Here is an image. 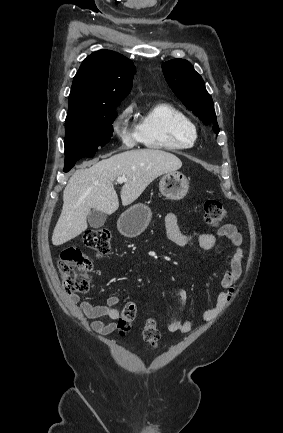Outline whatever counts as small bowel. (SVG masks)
<instances>
[{
	"label": "small bowel",
	"mask_w": 283,
	"mask_h": 433,
	"mask_svg": "<svg viewBox=\"0 0 283 433\" xmlns=\"http://www.w3.org/2000/svg\"><path fill=\"white\" fill-rule=\"evenodd\" d=\"M165 229L169 240L181 247L196 243L204 250H211L216 246L218 237L227 239L233 245L234 252L221 280L222 291L217 296L216 305L203 313L205 321H213L230 304L234 289L241 275L243 257L241 234L232 224L222 226L217 235L198 231L183 233L179 229L177 217L173 213L166 215ZM119 303L120 298L116 295L109 296L104 305H94L89 301L81 300L77 294H72L69 297V304L72 310L90 319L91 328L101 335H108L116 329L114 321L120 316V312L116 308ZM104 318H109L111 321L107 322ZM167 329L169 332L187 333L192 329V322L185 319H175L168 324Z\"/></svg>",
	"instance_id": "1"
}]
</instances>
